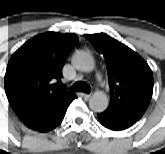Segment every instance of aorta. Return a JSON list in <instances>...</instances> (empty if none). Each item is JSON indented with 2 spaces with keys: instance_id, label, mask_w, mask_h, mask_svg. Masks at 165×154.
<instances>
[{
  "instance_id": "aorta-1",
  "label": "aorta",
  "mask_w": 165,
  "mask_h": 154,
  "mask_svg": "<svg viewBox=\"0 0 165 154\" xmlns=\"http://www.w3.org/2000/svg\"><path fill=\"white\" fill-rule=\"evenodd\" d=\"M75 66L83 72H91L95 69L93 57L86 52H78L74 59ZM109 105V99L103 92H95L90 99V107L94 111H104Z\"/></svg>"
}]
</instances>
